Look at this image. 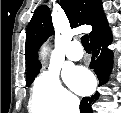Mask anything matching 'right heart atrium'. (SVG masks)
Masks as SVG:
<instances>
[{
	"label": "right heart atrium",
	"mask_w": 121,
	"mask_h": 113,
	"mask_svg": "<svg viewBox=\"0 0 121 113\" xmlns=\"http://www.w3.org/2000/svg\"><path fill=\"white\" fill-rule=\"evenodd\" d=\"M33 97L48 113H69L78 108V99L62 84L59 73L44 70L35 81Z\"/></svg>",
	"instance_id": "right-heart-atrium-1"
}]
</instances>
